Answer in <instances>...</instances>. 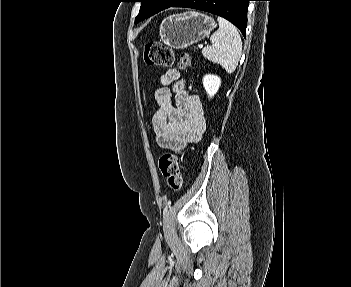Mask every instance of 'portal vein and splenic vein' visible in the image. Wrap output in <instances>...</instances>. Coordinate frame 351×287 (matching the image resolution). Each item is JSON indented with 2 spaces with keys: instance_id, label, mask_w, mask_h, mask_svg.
I'll return each instance as SVG.
<instances>
[{
  "instance_id": "18ae733b",
  "label": "portal vein and splenic vein",
  "mask_w": 351,
  "mask_h": 287,
  "mask_svg": "<svg viewBox=\"0 0 351 287\" xmlns=\"http://www.w3.org/2000/svg\"><path fill=\"white\" fill-rule=\"evenodd\" d=\"M199 47H200V48H203V45H200Z\"/></svg>"
}]
</instances>
